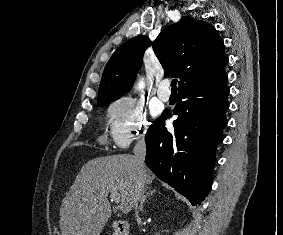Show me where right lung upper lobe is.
I'll return each mask as SVG.
<instances>
[{"mask_svg":"<svg viewBox=\"0 0 283 235\" xmlns=\"http://www.w3.org/2000/svg\"><path fill=\"white\" fill-rule=\"evenodd\" d=\"M150 44L146 36L140 35L114 52L102 75L98 103L115 101L131 89ZM153 49L165 74L180 79L178 89L219 75L228 63L224 42L216 29L189 16L164 29L153 42Z\"/></svg>","mask_w":283,"mask_h":235,"instance_id":"right-lung-upper-lobe-1","label":"right lung upper lobe"}]
</instances>
